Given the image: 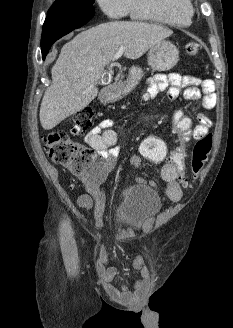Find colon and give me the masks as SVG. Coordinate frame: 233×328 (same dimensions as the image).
<instances>
[{"label": "colon", "instance_id": "5ec220e1", "mask_svg": "<svg viewBox=\"0 0 233 328\" xmlns=\"http://www.w3.org/2000/svg\"><path fill=\"white\" fill-rule=\"evenodd\" d=\"M188 55H196L200 45L189 42L186 45ZM94 113L90 108H84L71 117V132L78 134L91 127ZM172 125L179 135L181 145L176 147L168 156L165 143L156 136L146 137L141 145V154L153 163L166 159L179 172L180 182L188 188L190 183L186 178V153L184 145L192 138L193 126L191 119L183 112L178 111L172 117ZM43 146L48 157L56 164L69 169L85 182L94 181L102 177L103 165L97 160L94 151L74 140L62 130H51L43 137ZM212 149V136L210 134L198 139L194 145L190 160V170L194 178L200 173L209 160Z\"/></svg>", "mask_w": 233, "mask_h": 328}]
</instances>
